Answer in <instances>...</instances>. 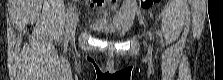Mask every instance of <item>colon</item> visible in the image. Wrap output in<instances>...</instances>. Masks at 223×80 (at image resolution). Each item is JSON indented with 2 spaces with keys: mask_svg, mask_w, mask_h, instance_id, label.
Listing matches in <instances>:
<instances>
[{
  "mask_svg": "<svg viewBox=\"0 0 223 80\" xmlns=\"http://www.w3.org/2000/svg\"><path fill=\"white\" fill-rule=\"evenodd\" d=\"M103 1V0H100ZM159 0H140V6L144 9L152 7L155 3H157ZM103 2H108V1H103Z\"/></svg>",
  "mask_w": 223,
  "mask_h": 80,
  "instance_id": "colon-1",
  "label": "colon"
}]
</instances>
